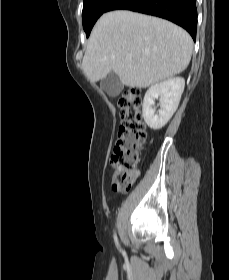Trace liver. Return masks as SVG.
<instances>
[{
    "label": "liver",
    "mask_w": 229,
    "mask_h": 280,
    "mask_svg": "<svg viewBox=\"0 0 229 280\" xmlns=\"http://www.w3.org/2000/svg\"><path fill=\"white\" fill-rule=\"evenodd\" d=\"M192 50L190 35L169 21L131 11H112L95 24L82 69L91 82L114 72L122 84L146 88L184 71Z\"/></svg>",
    "instance_id": "6515ba94"
}]
</instances>
